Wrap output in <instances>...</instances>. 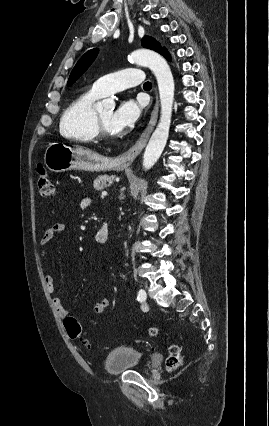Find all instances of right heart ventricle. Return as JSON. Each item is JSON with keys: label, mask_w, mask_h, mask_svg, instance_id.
I'll return each mask as SVG.
<instances>
[{"label": "right heart ventricle", "mask_w": 269, "mask_h": 426, "mask_svg": "<svg viewBox=\"0 0 269 426\" xmlns=\"http://www.w3.org/2000/svg\"><path fill=\"white\" fill-rule=\"evenodd\" d=\"M92 89L83 92L65 109L60 120V133L78 142H91L97 137L94 125L95 102L100 98Z\"/></svg>", "instance_id": "right-heart-ventricle-1"}]
</instances>
